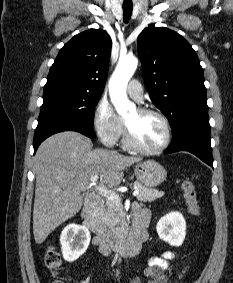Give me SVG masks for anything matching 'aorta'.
Listing matches in <instances>:
<instances>
[{
	"label": "aorta",
	"instance_id": "aorta-1",
	"mask_svg": "<svg viewBox=\"0 0 233 283\" xmlns=\"http://www.w3.org/2000/svg\"><path fill=\"white\" fill-rule=\"evenodd\" d=\"M138 65L134 56L120 57L117 67L109 82V95L116 111L125 115L135 109V105L129 101L126 93L127 85Z\"/></svg>",
	"mask_w": 233,
	"mask_h": 283
}]
</instances>
